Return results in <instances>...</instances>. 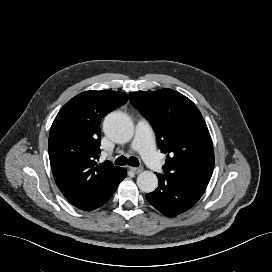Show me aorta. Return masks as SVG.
<instances>
[{
    "instance_id": "1",
    "label": "aorta",
    "mask_w": 272,
    "mask_h": 272,
    "mask_svg": "<svg viewBox=\"0 0 272 272\" xmlns=\"http://www.w3.org/2000/svg\"><path fill=\"white\" fill-rule=\"evenodd\" d=\"M105 134L117 143L129 142L134 135V125L130 117L120 111L109 113L103 123ZM139 189L145 193L153 192L158 186V178L151 171H144L137 177Z\"/></svg>"
}]
</instances>
